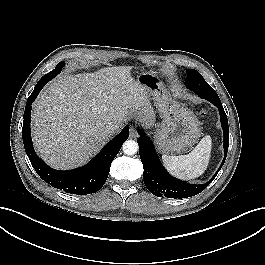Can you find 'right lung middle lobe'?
<instances>
[{
  "label": "right lung middle lobe",
  "instance_id": "1",
  "mask_svg": "<svg viewBox=\"0 0 265 265\" xmlns=\"http://www.w3.org/2000/svg\"><path fill=\"white\" fill-rule=\"evenodd\" d=\"M65 62L62 61L60 62L54 70H52L51 72H49L48 74L44 75L46 77H49L50 79H53L56 75H58L61 72V69L64 67Z\"/></svg>",
  "mask_w": 265,
  "mask_h": 265
}]
</instances>
